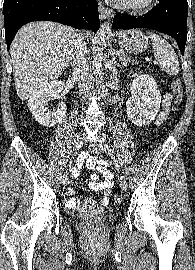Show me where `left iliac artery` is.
<instances>
[{"mask_svg":"<svg viewBox=\"0 0 195 270\" xmlns=\"http://www.w3.org/2000/svg\"><path fill=\"white\" fill-rule=\"evenodd\" d=\"M104 150H105V152H108V154H110V156H112V158H114V164H115L117 170L120 173H122L121 166H120L118 160L115 157H113V152L111 151V149L109 148V146L108 145H105L104 146Z\"/></svg>","mask_w":195,"mask_h":270,"instance_id":"obj_1","label":"left iliac artery"}]
</instances>
